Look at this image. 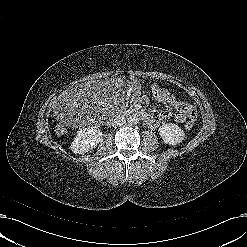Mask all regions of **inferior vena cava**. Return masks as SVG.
<instances>
[{
    "label": "inferior vena cava",
    "instance_id": "602c4592",
    "mask_svg": "<svg viewBox=\"0 0 247 247\" xmlns=\"http://www.w3.org/2000/svg\"><path fill=\"white\" fill-rule=\"evenodd\" d=\"M126 123V119L123 116H115L112 121H111V125L113 127H118V126H122L123 124Z\"/></svg>",
    "mask_w": 247,
    "mask_h": 247
}]
</instances>
